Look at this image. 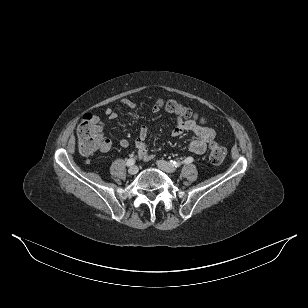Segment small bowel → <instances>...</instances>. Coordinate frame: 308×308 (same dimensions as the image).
Returning a JSON list of instances; mask_svg holds the SVG:
<instances>
[{
	"mask_svg": "<svg viewBox=\"0 0 308 308\" xmlns=\"http://www.w3.org/2000/svg\"><path fill=\"white\" fill-rule=\"evenodd\" d=\"M121 106L124 108L134 109L136 107V104L132 100L124 99L121 102ZM153 111L154 112L158 111V107L156 105L153 106ZM104 115L108 119L113 120L117 118L118 113L114 109L107 108L104 111ZM96 119L102 129L101 120L97 116ZM184 132H189L194 135V139L189 144V149L192 153L197 155L205 153L207 144L215 137V131L211 127L205 125H199L194 120H184L182 117L177 116L176 124L171 131V135L173 137H177L182 135ZM147 136H148V128L145 125H141L137 130L136 136L134 138V143L139 158L146 161L151 160L153 157L152 153L149 151L148 146L146 144ZM111 145L112 143L109 139L102 137L98 150L100 152H107L111 148ZM128 145L129 141L127 139H121L118 142V146L121 148H125Z\"/></svg>",
	"mask_w": 308,
	"mask_h": 308,
	"instance_id": "small-bowel-1",
	"label": "small bowel"
}]
</instances>
